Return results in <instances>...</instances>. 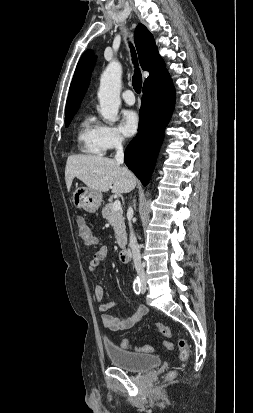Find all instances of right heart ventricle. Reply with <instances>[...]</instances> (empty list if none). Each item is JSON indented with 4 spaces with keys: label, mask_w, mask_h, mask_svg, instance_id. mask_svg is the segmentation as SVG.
<instances>
[{
    "label": "right heart ventricle",
    "mask_w": 253,
    "mask_h": 413,
    "mask_svg": "<svg viewBox=\"0 0 253 413\" xmlns=\"http://www.w3.org/2000/svg\"><path fill=\"white\" fill-rule=\"evenodd\" d=\"M100 126L92 116H86L81 121L77 132V144L81 152L94 156L104 153L100 140Z\"/></svg>",
    "instance_id": "1"
}]
</instances>
